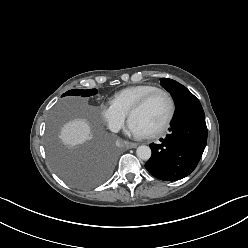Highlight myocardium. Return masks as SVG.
Returning <instances> with one entry per match:
<instances>
[{"instance_id": "obj_1", "label": "myocardium", "mask_w": 248, "mask_h": 248, "mask_svg": "<svg viewBox=\"0 0 248 248\" xmlns=\"http://www.w3.org/2000/svg\"><path fill=\"white\" fill-rule=\"evenodd\" d=\"M156 95H163L166 100L168 101V105H169V111H168V115L166 117V119L164 120V122L154 131L146 134L147 137L149 138H156L161 136L171 125L173 118L175 116V110H176V105H175V101L172 97V95L161 88H157L149 93H147L146 95H144L142 98H140L129 110L128 112V117L129 119H131V116L133 115V113H135L136 111L142 109L144 106H146L148 104V102L155 97Z\"/></svg>"}]
</instances>
